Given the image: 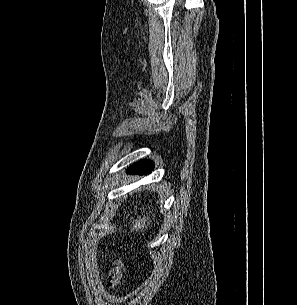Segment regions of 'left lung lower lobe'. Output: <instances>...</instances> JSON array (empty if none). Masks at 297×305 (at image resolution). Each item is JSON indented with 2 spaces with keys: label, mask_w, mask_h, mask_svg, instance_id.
<instances>
[{
  "label": "left lung lower lobe",
  "mask_w": 297,
  "mask_h": 305,
  "mask_svg": "<svg viewBox=\"0 0 297 305\" xmlns=\"http://www.w3.org/2000/svg\"><path fill=\"white\" fill-rule=\"evenodd\" d=\"M154 168V164L150 160H140L127 169V173L146 174L150 173Z\"/></svg>",
  "instance_id": "obj_1"
}]
</instances>
